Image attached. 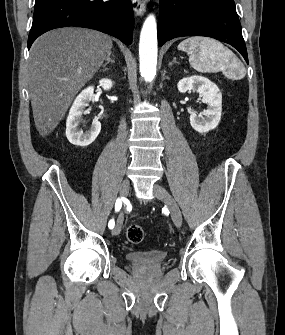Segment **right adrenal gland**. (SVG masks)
<instances>
[{
    "label": "right adrenal gland",
    "mask_w": 285,
    "mask_h": 335,
    "mask_svg": "<svg viewBox=\"0 0 285 335\" xmlns=\"http://www.w3.org/2000/svg\"><path fill=\"white\" fill-rule=\"evenodd\" d=\"M109 56H113V54H108V58H107V60L104 64L103 68H106V66H108V64H110V62H111V64H115L114 60H111V58H109Z\"/></svg>",
    "instance_id": "right-adrenal-gland-1"
}]
</instances>
